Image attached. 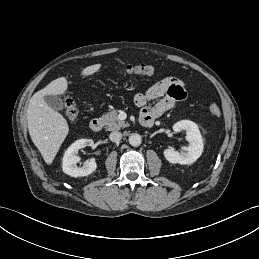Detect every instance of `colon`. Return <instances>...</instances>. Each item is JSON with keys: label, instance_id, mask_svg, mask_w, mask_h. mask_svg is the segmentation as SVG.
Masks as SVG:
<instances>
[{"label": "colon", "instance_id": "obj_1", "mask_svg": "<svg viewBox=\"0 0 259 259\" xmlns=\"http://www.w3.org/2000/svg\"><path fill=\"white\" fill-rule=\"evenodd\" d=\"M155 73L156 69L147 64L128 65L121 71V74L126 76H152ZM63 111L68 122L75 123L77 121L79 116L78 106L68 95H65L63 99ZM209 111L215 117H218L221 114L220 108L215 104L210 105Z\"/></svg>", "mask_w": 259, "mask_h": 259}]
</instances>
